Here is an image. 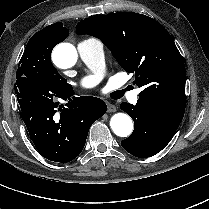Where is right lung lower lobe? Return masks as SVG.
I'll return each mask as SVG.
<instances>
[{"mask_svg": "<svg viewBox=\"0 0 209 209\" xmlns=\"http://www.w3.org/2000/svg\"><path fill=\"white\" fill-rule=\"evenodd\" d=\"M15 93L30 139L48 160L66 163L84 148L91 125L107 110L91 96L72 97L73 88H58L28 78L16 81ZM69 100L66 107L58 100Z\"/></svg>", "mask_w": 209, "mask_h": 209, "instance_id": "98d812e1", "label": "right lung lower lobe"}]
</instances>
